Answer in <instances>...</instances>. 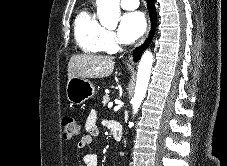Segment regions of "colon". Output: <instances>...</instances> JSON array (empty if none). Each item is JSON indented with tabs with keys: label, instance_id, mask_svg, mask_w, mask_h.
<instances>
[{
	"label": "colon",
	"instance_id": "colon-1",
	"mask_svg": "<svg viewBox=\"0 0 227 166\" xmlns=\"http://www.w3.org/2000/svg\"><path fill=\"white\" fill-rule=\"evenodd\" d=\"M63 135L66 139H72L79 134V127L74 117L66 116L62 120Z\"/></svg>",
	"mask_w": 227,
	"mask_h": 166
}]
</instances>
